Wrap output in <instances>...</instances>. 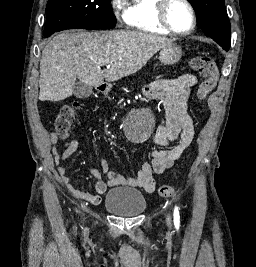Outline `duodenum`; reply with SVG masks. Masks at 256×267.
Instances as JSON below:
<instances>
[{
	"mask_svg": "<svg viewBox=\"0 0 256 267\" xmlns=\"http://www.w3.org/2000/svg\"><path fill=\"white\" fill-rule=\"evenodd\" d=\"M117 79L116 78H109L108 81H98V94H109V90L112 89L111 84L116 83ZM144 87H150L151 83L150 82H144L143 83Z\"/></svg>",
	"mask_w": 256,
	"mask_h": 267,
	"instance_id": "410a0bca",
	"label": "duodenum"
}]
</instances>
